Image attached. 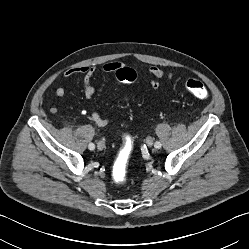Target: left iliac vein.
Listing matches in <instances>:
<instances>
[{
    "mask_svg": "<svg viewBox=\"0 0 249 249\" xmlns=\"http://www.w3.org/2000/svg\"><path fill=\"white\" fill-rule=\"evenodd\" d=\"M146 144H147V146L151 147L153 145V138L152 137H147Z\"/></svg>",
    "mask_w": 249,
    "mask_h": 249,
    "instance_id": "left-iliac-vein-1",
    "label": "left iliac vein"
}]
</instances>
